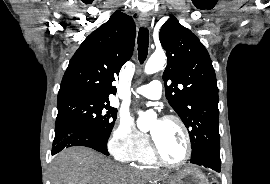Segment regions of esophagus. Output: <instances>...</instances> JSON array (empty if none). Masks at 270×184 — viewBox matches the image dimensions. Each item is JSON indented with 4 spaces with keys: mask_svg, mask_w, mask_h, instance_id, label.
Returning <instances> with one entry per match:
<instances>
[{
    "mask_svg": "<svg viewBox=\"0 0 270 184\" xmlns=\"http://www.w3.org/2000/svg\"><path fill=\"white\" fill-rule=\"evenodd\" d=\"M150 20V16L147 14L140 15L139 17V23L144 27H147L150 24Z\"/></svg>",
    "mask_w": 270,
    "mask_h": 184,
    "instance_id": "esophagus-1",
    "label": "esophagus"
}]
</instances>
